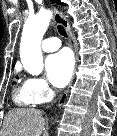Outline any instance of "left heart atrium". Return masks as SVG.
<instances>
[{
	"label": "left heart atrium",
	"mask_w": 117,
	"mask_h": 136,
	"mask_svg": "<svg viewBox=\"0 0 117 136\" xmlns=\"http://www.w3.org/2000/svg\"><path fill=\"white\" fill-rule=\"evenodd\" d=\"M74 69V58L68 49H62L47 58L46 70L50 82L62 88L69 82Z\"/></svg>",
	"instance_id": "1"
}]
</instances>
